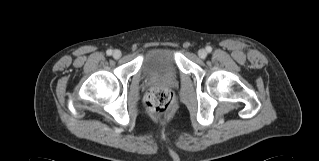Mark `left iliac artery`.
I'll use <instances>...</instances> for the list:
<instances>
[{"label": "left iliac artery", "mask_w": 319, "mask_h": 161, "mask_svg": "<svg viewBox=\"0 0 319 161\" xmlns=\"http://www.w3.org/2000/svg\"><path fill=\"white\" fill-rule=\"evenodd\" d=\"M206 50H207V52L210 53V52L212 51V48H211L210 46H207V47H206Z\"/></svg>", "instance_id": "left-iliac-artery-1"}]
</instances>
